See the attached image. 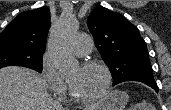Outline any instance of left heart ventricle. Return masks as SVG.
Segmentation results:
<instances>
[{
    "label": "left heart ventricle",
    "instance_id": "b2bd125f",
    "mask_svg": "<svg viewBox=\"0 0 171 110\" xmlns=\"http://www.w3.org/2000/svg\"><path fill=\"white\" fill-rule=\"evenodd\" d=\"M68 81L78 96L91 97L101 91L105 77L100 69L78 67L69 75Z\"/></svg>",
    "mask_w": 171,
    "mask_h": 110
}]
</instances>
